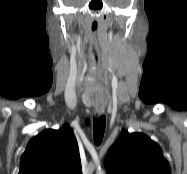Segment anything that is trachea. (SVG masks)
Returning <instances> with one entry per match:
<instances>
[{"instance_id":"1","label":"trachea","mask_w":187,"mask_h":174,"mask_svg":"<svg viewBox=\"0 0 187 174\" xmlns=\"http://www.w3.org/2000/svg\"><path fill=\"white\" fill-rule=\"evenodd\" d=\"M106 118L100 116L99 118H93V139L95 144L98 146L101 144L103 135L105 132Z\"/></svg>"}]
</instances>
